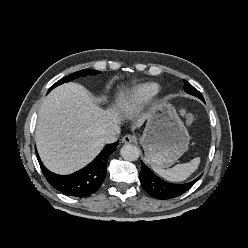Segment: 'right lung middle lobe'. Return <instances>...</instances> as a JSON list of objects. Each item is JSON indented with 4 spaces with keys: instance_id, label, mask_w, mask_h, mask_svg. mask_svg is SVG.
<instances>
[{
    "instance_id": "1",
    "label": "right lung middle lobe",
    "mask_w": 248,
    "mask_h": 248,
    "mask_svg": "<svg viewBox=\"0 0 248 248\" xmlns=\"http://www.w3.org/2000/svg\"><path fill=\"white\" fill-rule=\"evenodd\" d=\"M100 73L99 71H96V70H92V69H84V70H80L78 72H75L73 74H70L69 76L67 77H64L62 78L61 80L57 81L50 89L49 91H51L54 87L60 85V84H63L65 82H69L71 80H74V79H77L81 76H87V75H96ZM48 91V92H49Z\"/></svg>"
}]
</instances>
